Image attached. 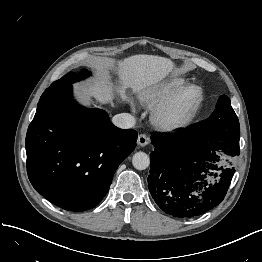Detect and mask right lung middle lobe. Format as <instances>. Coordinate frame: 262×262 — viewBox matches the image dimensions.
I'll return each instance as SVG.
<instances>
[{"mask_svg":"<svg viewBox=\"0 0 262 262\" xmlns=\"http://www.w3.org/2000/svg\"><path fill=\"white\" fill-rule=\"evenodd\" d=\"M89 75H90V72L87 71V69H82L81 72L79 73L71 72V73L64 75L61 79L53 82L50 87L59 88V87H64L66 85H71L72 83L79 81L81 79H84Z\"/></svg>","mask_w":262,"mask_h":262,"instance_id":"right-lung-middle-lobe-1","label":"right lung middle lobe"}]
</instances>
